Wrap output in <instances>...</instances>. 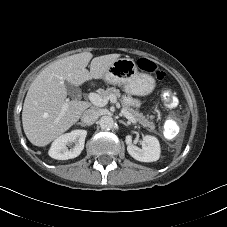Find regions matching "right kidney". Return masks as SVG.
<instances>
[{
	"instance_id": "ca27d5eb",
	"label": "right kidney",
	"mask_w": 227,
	"mask_h": 227,
	"mask_svg": "<svg viewBox=\"0 0 227 227\" xmlns=\"http://www.w3.org/2000/svg\"><path fill=\"white\" fill-rule=\"evenodd\" d=\"M86 130H73L70 133H65L57 137L49 150V156L57 160L72 159L80 155L84 149ZM75 143L68 149L67 145Z\"/></svg>"
}]
</instances>
